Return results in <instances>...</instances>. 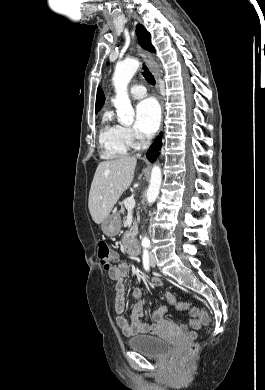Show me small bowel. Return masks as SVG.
Returning a JSON list of instances; mask_svg holds the SVG:
<instances>
[{
  "label": "small bowel",
  "mask_w": 265,
  "mask_h": 390,
  "mask_svg": "<svg viewBox=\"0 0 265 390\" xmlns=\"http://www.w3.org/2000/svg\"><path fill=\"white\" fill-rule=\"evenodd\" d=\"M115 259H118L117 255H114ZM129 271V265L126 262H121L116 266H113L110 270H108L109 277L115 281L116 285V300H115V308L117 312L116 316V324L119 329L126 335L132 336L139 333H150L154 334L158 332L160 326L165 322L164 316L167 311L165 306L160 307L156 311L153 312L152 318L153 323L148 324L143 322L141 319L145 315L144 305L141 301L137 302L133 307L130 321L126 319L123 315L124 307H125V285L124 279L127 276ZM153 284L156 286H162L163 282L159 278H155L153 280ZM132 296L134 299L140 300L143 296V290L139 287L135 288L132 292ZM192 329H187L185 326H180L179 330L182 334L187 336L188 338H195L197 335V330L200 328L201 323L194 319L191 322Z\"/></svg>",
  "instance_id": "1"
}]
</instances>
